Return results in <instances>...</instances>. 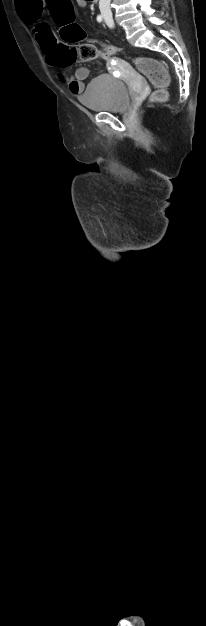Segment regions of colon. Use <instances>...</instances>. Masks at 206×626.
<instances>
[{"mask_svg": "<svg viewBox=\"0 0 206 626\" xmlns=\"http://www.w3.org/2000/svg\"><path fill=\"white\" fill-rule=\"evenodd\" d=\"M51 8L55 23L60 27V35L63 44H59L55 50L54 63L57 66H68L75 62L93 61L101 56L116 54L119 50L112 46H98L93 42L75 44L85 38L84 30L75 23V13L71 0H47ZM138 70L146 76L154 85L155 91L151 95V101L160 103L167 98L166 86L169 77L164 66L151 58H137L135 60Z\"/></svg>", "mask_w": 206, "mask_h": 626, "instance_id": "5ec220e1", "label": "colon"}]
</instances>
